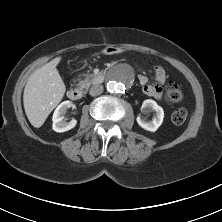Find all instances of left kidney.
Returning a JSON list of instances; mask_svg holds the SVG:
<instances>
[{
	"label": "left kidney",
	"mask_w": 222,
	"mask_h": 222,
	"mask_svg": "<svg viewBox=\"0 0 222 222\" xmlns=\"http://www.w3.org/2000/svg\"><path fill=\"white\" fill-rule=\"evenodd\" d=\"M142 112L155 111L156 115L152 121H145L141 117H137V123L143 129L155 132L163 122L164 111L154 100H145L141 107Z\"/></svg>",
	"instance_id": "obj_1"
}]
</instances>
